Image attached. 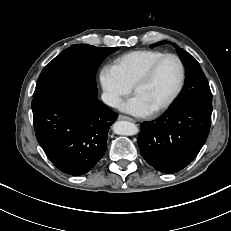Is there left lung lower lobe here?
Returning <instances> with one entry per match:
<instances>
[{
  "label": "left lung lower lobe",
  "instance_id": "0a47b994",
  "mask_svg": "<svg viewBox=\"0 0 231 231\" xmlns=\"http://www.w3.org/2000/svg\"><path fill=\"white\" fill-rule=\"evenodd\" d=\"M212 104L186 102L170 106L159 118L141 124L138 146L156 170L176 173L197 156L211 125Z\"/></svg>",
  "mask_w": 231,
  "mask_h": 231
}]
</instances>
